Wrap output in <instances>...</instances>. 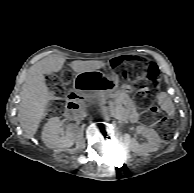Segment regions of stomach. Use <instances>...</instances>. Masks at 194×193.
<instances>
[{
  "label": "stomach",
  "mask_w": 194,
  "mask_h": 193,
  "mask_svg": "<svg viewBox=\"0 0 194 193\" xmlns=\"http://www.w3.org/2000/svg\"><path fill=\"white\" fill-rule=\"evenodd\" d=\"M119 81L115 76H108L97 70L78 73L73 81V88L80 94H106L115 90ZM124 88L129 89L128 86Z\"/></svg>",
  "instance_id": "0dacf381"
}]
</instances>
